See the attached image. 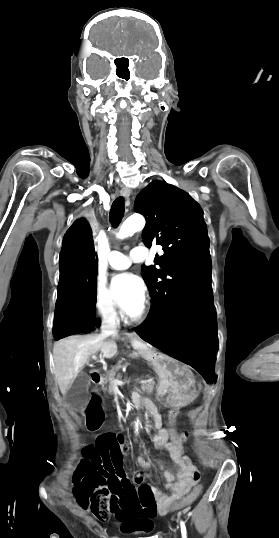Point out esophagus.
Returning <instances> with one entry per match:
<instances>
[{
  "label": "esophagus",
  "mask_w": 279,
  "mask_h": 538,
  "mask_svg": "<svg viewBox=\"0 0 279 538\" xmlns=\"http://www.w3.org/2000/svg\"><path fill=\"white\" fill-rule=\"evenodd\" d=\"M121 195L126 199L128 200L129 199V196H130V189L127 188V187H123L121 189ZM137 335L135 334V332H132L131 334H129V337L130 338H133V337H136Z\"/></svg>",
  "instance_id": "esophagus-1"
}]
</instances>
